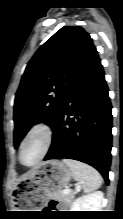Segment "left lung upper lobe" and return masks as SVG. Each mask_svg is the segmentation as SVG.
Returning a JSON list of instances; mask_svg holds the SVG:
<instances>
[{
	"mask_svg": "<svg viewBox=\"0 0 123 219\" xmlns=\"http://www.w3.org/2000/svg\"><path fill=\"white\" fill-rule=\"evenodd\" d=\"M98 56L90 35L80 26H64L29 61L15 96L14 145L42 119L53 128L74 83Z\"/></svg>",
	"mask_w": 123,
	"mask_h": 219,
	"instance_id": "left-lung-upper-lobe-1",
	"label": "left lung upper lobe"
}]
</instances>
